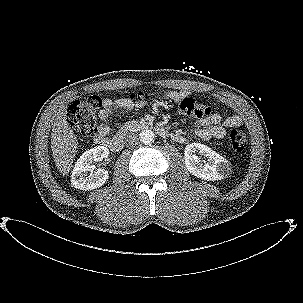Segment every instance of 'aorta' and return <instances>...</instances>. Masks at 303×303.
<instances>
[{"mask_svg": "<svg viewBox=\"0 0 303 303\" xmlns=\"http://www.w3.org/2000/svg\"><path fill=\"white\" fill-rule=\"evenodd\" d=\"M155 134L150 129H145L139 134V139L144 144H149L154 141Z\"/></svg>", "mask_w": 303, "mask_h": 303, "instance_id": "aorta-1", "label": "aorta"}]
</instances>
